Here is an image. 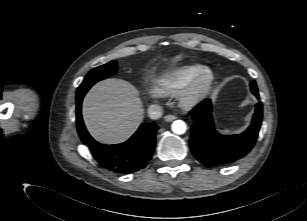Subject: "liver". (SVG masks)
Instances as JSON below:
<instances>
[{"mask_svg":"<svg viewBox=\"0 0 307 221\" xmlns=\"http://www.w3.org/2000/svg\"><path fill=\"white\" fill-rule=\"evenodd\" d=\"M86 128L105 144L121 143L138 129L144 109L138 90L129 82L110 78L95 84L82 104Z\"/></svg>","mask_w":307,"mask_h":221,"instance_id":"1","label":"liver"}]
</instances>
